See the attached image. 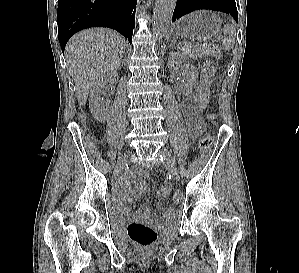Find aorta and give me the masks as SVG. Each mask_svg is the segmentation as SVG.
<instances>
[{"label":"aorta","mask_w":299,"mask_h":273,"mask_svg":"<svg viewBox=\"0 0 299 273\" xmlns=\"http://www.w3.org/2000/svg\"><path fill=\"white\" fill-rule=\"evenodd\" d=\"M176 0H157L153 16V32L164 37L170 27Z\"/></svg>","instance_id":"aorta-1"}]
</instances>
